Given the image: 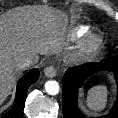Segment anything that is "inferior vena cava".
I'll list each match as a JSON object with an SVG mask.
<instances>
[{"instance_id":"inferior-vena-cava-1","label":"inferior vena cava","mask_w":118,"mask_h":118,"mask_svg":"<svg viewBox=\"0 0 118 118\" xmlns=\"http://www.w3.org/2000/svg\"><path fill=\"white\" fill-rule=\"evenodd\" d=\"M36 61H37V58L35 56H30V57H27L24 61H22L18 66L19 68L24 69V68L35 65Z\"/></svg>"}]
</instances>
